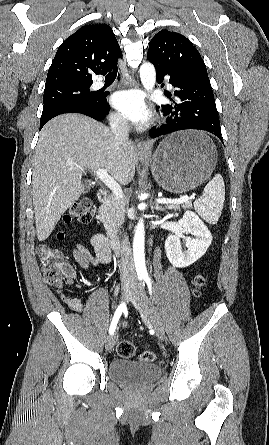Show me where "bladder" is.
Returning a JSON list of instances; mask_svg holds the SVG:
<instances>
[{"label":"bladder","mask_w":269,"mask_h":445,"mask_svg":"<svg viewBox=\"0 0 269 445\" xmlns=\"http://www.w3.org/2000/svg\"><path fill=\"white\" fill-rule=\"evenodd\" d=\"M108 373L110 378L119 384L145 386L157 380L161 376L162 370L156 364L115 359L110 362Z\"/></svg>","instance_id":"obj_1"}]
</instances>
